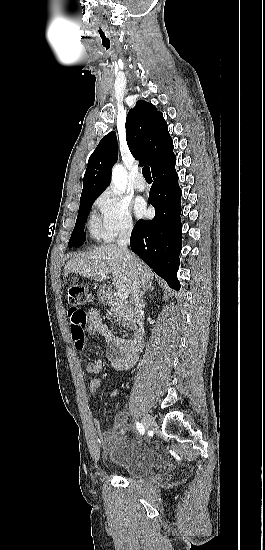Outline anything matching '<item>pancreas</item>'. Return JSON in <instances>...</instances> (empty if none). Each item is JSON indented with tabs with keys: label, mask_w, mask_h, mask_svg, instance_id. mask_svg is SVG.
<instances>
[{
	"label": "pancreas",
	"mask_w": 265,
	"mask_h": 550,
	"mask_svg": "<svg viewBox=\"0 0 265 550\" xmlns=\"http://www.w3.org/2000/svg\"><path fill=\"white\" fill-rule=\"evenodd\" d=\"M110 312L117 318V322L123 326H135L136 313L134 308L127 302L117 299L111 305Z\"/></svg>",
	"instance_id": "obj_1"
}]
</instances>
